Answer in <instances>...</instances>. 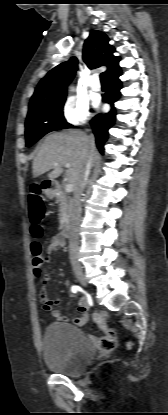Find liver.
<instances>
[{
    "label": "liver",
    "instance_id": "1",
    "mask_svg": "<svg viewBox=\"0 0 168 415\" xmlns=\"http://www.w3.org/2000/svg\"><path fill=\"white\" fill-rule=\"evenodd\" d=\"M90 158L93 164L98 160L99 154L95 146L91 152L89 136L85 132L69 129L51 133L33 160V175L37 177L52 169L48 177L53 180L62 174L63 166L69 164L65 180L73 185L74 190Z\"/></svg>",
    "mask_w": 168,
    "mask_h": 415
}]
</instances>
